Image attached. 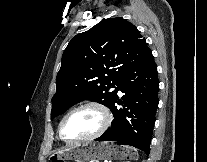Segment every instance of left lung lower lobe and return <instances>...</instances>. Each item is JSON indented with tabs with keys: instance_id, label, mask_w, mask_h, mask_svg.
Masks as SVG:
<instances>
[{
	"instance_id": "left-lung-lower-lobe-1",
	"label": "left lung lower lobe",
	"mask_w": 207,
	"mask_h": 162,
	"mask_svg": "<svg viewBox=\"0 0 207 162\" xmlns=\"http://www.w3.org/2000/svg\"><path fill=\"white\" fill-rule=\"evenodd\" d=\"M118 89L125 93L123 101L116 96L110 107L114 115L112 125L95 140L116 141L148 155L159 103L157 66L150 49L124 76ZM116 103L123 108L118 109Z\"/></svg>"
}]
</instances>
